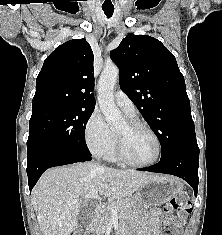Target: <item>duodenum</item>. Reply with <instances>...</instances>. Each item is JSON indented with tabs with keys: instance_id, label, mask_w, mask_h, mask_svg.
<instances>
[{
	"instance_id": "duodenum-1",
	"label": "duodenum",
	"mask_w": 222,
	"mask_h": 235,
	"mask_svg": "<svg viewBox=\"0 0 222 235\" xmlns=\"http://www.w3.org/2000/svg\"><path fill=\"white\" fill-rule=\"evenodd\" d=\"M100 211H101V208H100V207H96V208H95V214H96V215H98V214L100 213ZM87 235H90V233L88 232Z\"/></svg>"
}]
</instances>
